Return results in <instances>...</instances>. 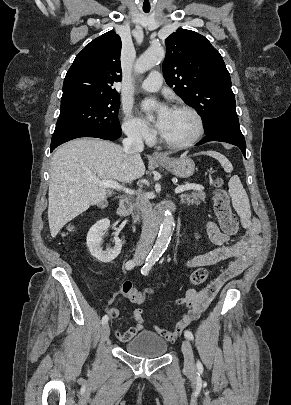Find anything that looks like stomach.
Listing matches in <instances>:
<instances>
[{
    "mask_svg": "<svg viewBox=\"0 0 291 405\" xmlns=\"http://www.w3.org/2000/svg\"><path fill=\"white\" fill-rule=\"evenodd\" d=\"M157 164L164 167L166 170L171 172L177 177L188 178L194 174L195 164L187 157L175 158H165L157 162Z\"/></svg>",
    "mask_w": 291,
    "mask_h": 405,
    "instance_id": "0dacf381",
    "label": "stomach"
}]
</instances>
